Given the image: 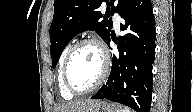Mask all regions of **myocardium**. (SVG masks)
<instances>
[{"label": "myocardium", "mask_w": 193, "mask_h": 112, "mask_svg": "<svg viewBox=\"0 0 193 112\" xmlns=\"http://www.w3.org/2000/svg\"><path fill=\"white\" fill-rule=\"evenodd\" d=\"M84 45H93L100 51L101 57H102V69H101L98 79L91 87L85 90H77L73 87V85L70 82L68 70H69V64H70L72 56L79 48H81ZM109 70H110V56H109V52L106 49L105 45L96 38H84L74 43L66 54V57L63 63V68H62V76H63L64 85L66 89L72 95H85L90 92H93L94 90L99 88L104 83V81L106 80L109 74Z\"/></svg>", "instance_id": "1"}]
</instances>
